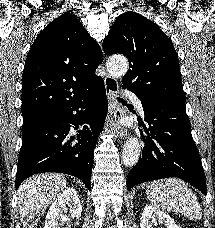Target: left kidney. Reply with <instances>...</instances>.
Masks as SVG:
<instances>
[{
	"mask_svg": "<svg viewBox=\"0 0 215 228\" xmlns=\"http://www.w3.org/2000/svg\"><path fill=\"white\" fill-rule=\"evenodd\" d=\"M155 226H165V228H180L176 222L153 206H145L140 220V228H155Z\"/></svg>",
	"mask_w": 215,
	"mask_h": 228,
	"instance_id": "obj_1",
	"label": "left kidney"
}]
</instances>
